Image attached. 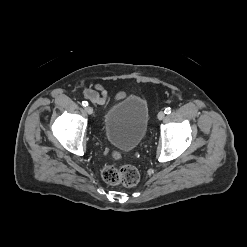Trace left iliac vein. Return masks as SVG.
<instances>
[{"label":"left iliac vein","mask_w":247,"mask_h":247,"mask_svg":"<svg viewBox=\"0 0 247 247\" xmlns=\"http://www.w3.org/2000/svg\"><path fill=\"white\" fill-rule=\"evenodd\" d=\"M157 117H158L159 120L164 119V117H165L164 111H160V112L158 113Z\"/></svg>","instance_id":"left-iliac-vein-1"}]
</instances>
